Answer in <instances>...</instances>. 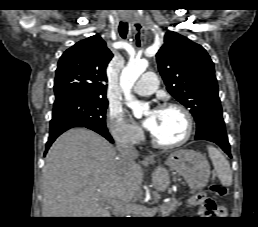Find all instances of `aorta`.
<instances>
[{
    "label": "aorta",
    "mask_w": 258,
    "mask_h": 227,
    "mask_svg": "<svg viewBox=\"0 0 258 227\" xmlns=\"http://www.w3.org/2000/svg\"><path fill=\"white\" fill-rule=\"evenodd\" d=\"M148 62L145 59L131 60L122 70L120 75V87L124 93L126 104L132 110L135 117L142 116L147 108V104L134 98L131 94L132 87L140 75L147 69Z\"/></svg>",
    "instance_id": "762f6f07"
}]
</instances>
